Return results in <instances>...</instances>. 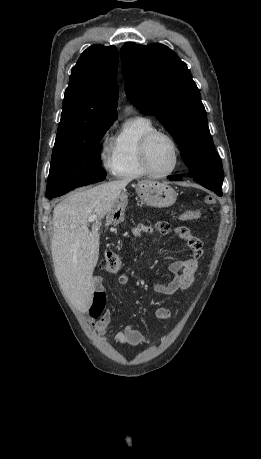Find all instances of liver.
<instances>
[{
	"mask_svg": "<svg viewBox=\"0 0 261 459\" xmlns=\"http://www.w3.org/2000/svg\"><path fill=\"white\" fill-rule=\"evenodd\" d=\"M128 180H116L77 190L56 205L51 251L55 273L65 296L81 311H87L95 291L93 271L99 258L100 220L111 211ZM98 221L88 229V217Z\"/></svg>",
	"mask_w": 261,
	"mask_h": 459,
	"instance_id": "obj_1",
	"label": "liver"
}]
</instances>
